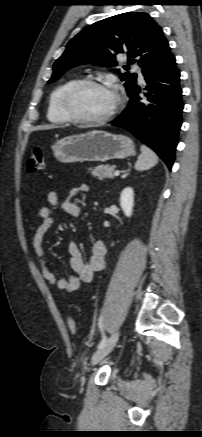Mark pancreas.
<instances>
[{
  "label": "pancreas",
  "mask_w": 202,
  "mask_h": 437,
  "mask_svg": "<svg viewBox=\"0 0 202 437\" xmlns=\"http://www.w3.org/2000/svg\"><path fill=\"white\" fill-rule=\"evenodd\" d=\"M91 170V175L98 178L99 180H103L105 178H114V165H100Z\"/></svg>",
  "instance_id": "1"
}]
</instances>
